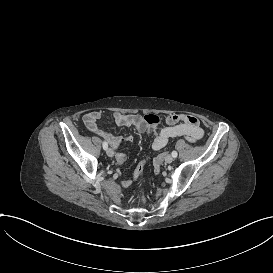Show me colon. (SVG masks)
<instances>
[{
	"label": "colon",
	"mask_w": 273,
	"mask_h": 273,
	"mask_svg": "<svg viewBox=\"0 0 273 273\" xmlns=\"http://www.w3.org/2000/svg\"><path fill=\"white\" fill-rule=\"evenodd\" d=\"M144 120L149 126L153 127H157L163 122L162 117L154 113L144 114ZM144 164L145 161L140 159L138 165L135 167V179L137 181H142L144 179ZM140 196H144V193H140ZM141 201L142 203H145L144 197H141Z\"/></svg>",
	"instance_id": "colon-1"
}]
</instances>
